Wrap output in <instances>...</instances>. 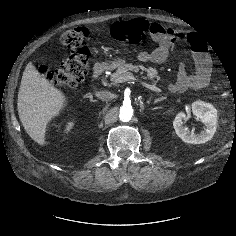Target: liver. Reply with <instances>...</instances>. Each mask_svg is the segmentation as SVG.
<instances>
[{
    "label": "liver",
    "mask_w": 236,
    "mask_h": 236,
    "mask_svg": "<svg viewBox=\"0 0 236 236\" xmlns=\"http://www.w3.org/2000/svg\"><path fill=\"white\" fill-rule=\"evenodd\" d=\"M67 105L65 94L36 70L32 62L26 66L18 93L17 108L27 134L45 146L48 123Z\"/></svg>",
    "instance_id": "obj_1"
}]
</instances>
